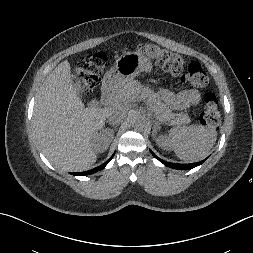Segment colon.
<instances>
[{
    "instance_id": "colon-1",
    "label": "colon",
    "mask_w": 253,
    "mask_h": 253,
    "mask_svg": "<svg viewBox=\"0 0 253 253\" xmlns=\"http://www.w3.org/2000/svg\"><path fill=\"white\" fill-rule=\"evenodd\" d=\"M138 50L154 60L158 66L177 76L184 85L204 87L208 83V77L198 62L186 63L177 54L154 44H142L138 47ZM107 61V56L100 51L92 52L81 59L77 68V78L85 92H90L99 83ZM199 118L204 126L219 127L221 114L218 109V100L214 93L207 92L204 95Z\"/></svg>"
}]
</instances>
